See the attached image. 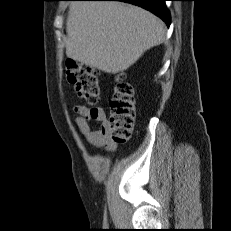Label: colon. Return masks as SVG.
<instances>
[{
    "instance_id": "obj_1",
    "label": "colon",
    "mask_w": 231,
    "mask_h": 231,
    "mask_svg": "<svg viewBox=\"0 0 231 231\" xmlns=\"http://www.w3.org/2000/svg\"><path fill=\"white\" fill-rule=\"evenodd\" d=\"M67 77L80 98L90 104L98 102L100 85L95 68L68 60ZM135 115L136 99L133 87L124 79L123 74H120L110 102V132L113 141L124 143L130 138Z\"/></svg>"
}]
</instances>
